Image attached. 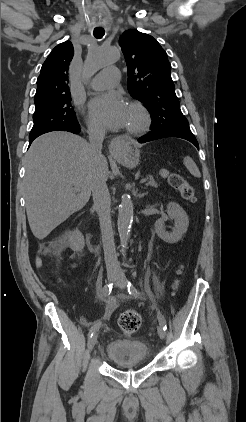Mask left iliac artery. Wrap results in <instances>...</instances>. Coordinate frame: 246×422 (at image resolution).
Segmentation results:
<instances>
[{
	"label": "left iliac artery",
	"instance_id": "left-iliac-artery-1",
	"mask_svg": "<svg viewBox=\"0 0 246 422\" xmlns=\"http://www.w3.org/2000/svg\"><path fill=\"white\" fill-rule=\"evenodd\" d=\"M127 289H128V292H129L130 295H132L134 297L139 296L138 290L134 287V285L130 281H128ZM157 318H158L160 325L163 327L164 330H166L167 329L166 320H165V317L162 315V313L160 311L157 312Z\"/></svg>",
	"mask_w": 246,
	"mask_h": 422
}]
</instances>
